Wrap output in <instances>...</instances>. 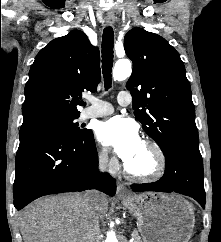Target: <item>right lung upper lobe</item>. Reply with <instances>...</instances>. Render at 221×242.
<instances>
[{
  "mask_svg": "<svg viewBox=\"0 0 221 242\" xmlns=\"http://www.w3.org/2000/svg\"><path fill=\"white\" fill-rule=\"evenodd\" d=\"M100 76L99 50L85 33L75 30L52 40L30 68L22 126L79 114L82 92L96 91Z\"/></svg>",
  "mask_w": 221,
  "mask_h": 242,
  "instance_id": "1",
  "label": "right lung upper lobe"
}]
</instances>
